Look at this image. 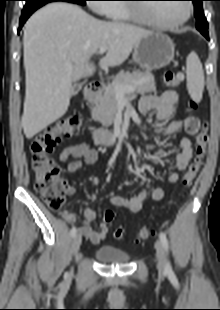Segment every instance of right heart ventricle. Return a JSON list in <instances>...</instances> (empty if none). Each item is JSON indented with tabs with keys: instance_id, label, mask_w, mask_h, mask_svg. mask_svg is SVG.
<instances>
[{
	"instance_id": "right-heart-ventricle-1",
	"label": "right heart ventricle",
	"mask_w": 220,
	"mask_h": 310,
	"mask_svg": "<svg viewBox=\"0 0 220 310\" xmlns=\"http://www.w3.org/2000/svg\"><path fill=\"white\" fill-rule=\"evenodd\" d=\"M108 7L104 10V15L108 18L121 21V22H130L135 21L129 7L122 4H107Z\"/></svg>"
}]
</instances>
